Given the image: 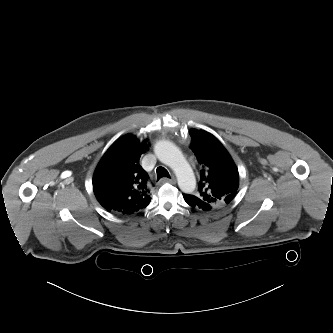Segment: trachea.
<instances>
[{
    "instance_id": "1",
    "label": "trachea",
    "mask_w": 333,
    "mask_h": 333,
    "mask_svg": "<svg viewBox=\"0 0 333 333\" xmlns=\"http://www.w3.org/2000/svg\"><path fill=\"white\" fill-rule=\"evenodd\" d=\"M157 173V180H159L162 177L170 178L169 172L164 167H158L156 169Z\"/></svg>"
}]
</instances>
